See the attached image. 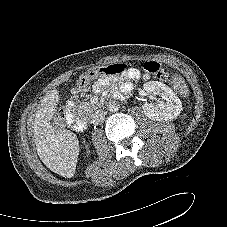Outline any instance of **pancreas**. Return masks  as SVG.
Instances as JSON below:
<instances>
[{
  "mask_svg": "<svg viewBox=\"0 0 227 227\" xmlns=\"http://www.w3.org/2000/svg\"><path fill=\"white\" fill-rule=\"evenodd\" d=\"M77 107L80 111H83L84 113H89L95 108V106L89 102H80Z\"/></svg>",
  "mask_w": 227,
  "mask_h": 227,
  "instance_id": "obj_1",
  "label": "pancreas"
}]
</instances>
